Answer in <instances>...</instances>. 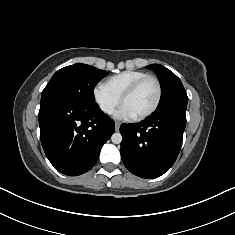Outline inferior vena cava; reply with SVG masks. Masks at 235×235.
I'll return each instance as SVG.
<instances>
[{
    "label": "inferior vena cava",
    "instance_id": "602c4592",
    "mask_svg": "<svg viewBox=\"0 0 235 235\" xmlns=\"http://www.w3.org/2000/svg\"><path fill=\"white\" fill-rule=\"evenodd\" d=\"M106 112L109 114H112L114 112V108L113 107H108L106 108Z\"/></svg>",
    "mask_w": 235,
    "mask_h": 235
}]
</instances>
